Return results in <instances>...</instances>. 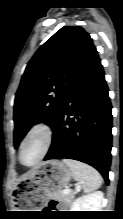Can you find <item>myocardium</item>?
<instances>
[{
    "mask_svg": "<svg viewBox=\"0 0 123 219\" xmlns=\"http://www.w3.org/2000/svg\"><path fill=\"white\" fill-rule=\"evenodd\" d=\"M35 135H40L42 138V142H43L42 152L35 162L28 164V163H25L22 159V151H23V147H24L25 143ZM52 141H53V130H52L51 126L48 123L43 122V121H39V122L34 123L29 128V130L26 132V134L24 135V137L22 138V140L20 142L19 152H18L19 161L23 165L28 166V167H31V166L38 164L47 155V153L52 145Z\"/></svg>",
    "mask_w": 123,
    "mask_h": 219,
    "instance_id": "f54148a6",
    "label": "myocardium"
}]
</instances>
